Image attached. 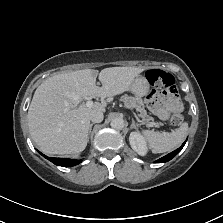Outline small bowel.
I'll return each mask as SVG.
<instances>
[{
    "mask_svg": "<svg viewBox=\"0 0 223 223\" xmlns=\"http://www.w3.org/2000/svg\"><path fill=\"white\" fill-rule=\"evenodd\" d=\"M149 109L161 119H167L172 112L182 110L181 100L176 92L166 89L153 90L146 97Z\"/></svg>",
    "mask_w": 223,
    "mask_h": 223,
    "instance_id": "obj_1",
    "label": "small bowel"
}]
</instances>
